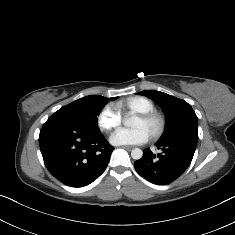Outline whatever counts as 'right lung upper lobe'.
<instances>
[{
	"label": "right lung upper lobe",
	"instance_id": "obj_1",
	"mask_svg": "<svg viewBox=\"0 0 235 235\" xmlns=\"http://www.w3.org/2000/svg\"><path fill=\"white\" fill-rule=\"evenodd\" d=\"M92 100H99L100 98H102V96H99V95H91V96H86Z\"/></svg>",
	"mask_w": 235,
	"mask_h": 235
}]
</instances>
